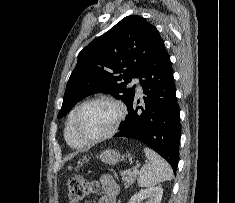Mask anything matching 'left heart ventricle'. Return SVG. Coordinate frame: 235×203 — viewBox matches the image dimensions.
Here are the masks:
<instances>
[{
    "mask_svg": "<svg viewBox=\"0 0 235 203\" xmlns=\"http://www.w3.org/2000/svg\"><path fill=\"white\" fill-rule=\"evenodd\" d=\"M118 115L115 105L109 102H94L87 105L78 118V130L87 138H96L107 133Z\"/></svg>",
    "mask_w": 235,
    "mask_h": 203,
    "instance_id": "b2bd125f",
    "label": "left heart ventricle"
}]
</instances>
